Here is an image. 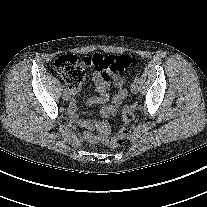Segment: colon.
<instances>
[{"label": "colon", "instance_id": "colon-1", "mask_svg": "<svg viewBox=\"0 0 207 207\" xmlns=\"http://www.w3.org/2000/svg\"><path fill=\"white\" fill-rule=\"evenodd\" d=\"M53 65L68 88L76 90L80 87L84 79L85 69L87 67H97L106 75L108 71L121 72L129 67H135L138 65V60L128 54L112 56L94 55L83 59L68 54L56 58ZM122 116L124 124L116 135L110 136V128L107 122L98 121L97 129L99 134L94 135L91 132H86L84 133L85 140L92 144L102 142L110 148L122 146L125 143L129 133V125L134 117L133 107L131 105H125L122 110Z\"/></svg>", "mask_w": 207, "mask_h": 207}]
</instances>
